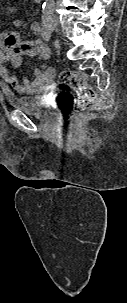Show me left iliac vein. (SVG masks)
<instances>
[{"label":"left iliac vein","mask_w":127,"mask_h":303,"mask_svg":"<svg viewBox=\"0 0 127 303\" xmlns=\"http://www.w3.org/2000/svg\"><path fill=\"white\" fill-rule=\"evenodd\" d=\"M53 22L57 24V21H56V20H53Z\"/></svg>","instance_id":"4c4485c4"}]
</instances>
